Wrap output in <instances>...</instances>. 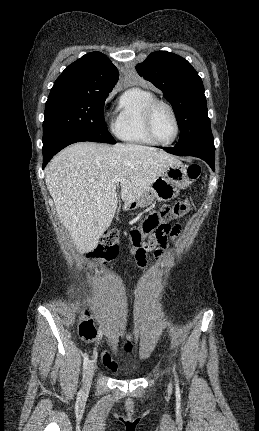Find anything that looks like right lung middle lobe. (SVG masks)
<instances>
[{
	"label": "right lung middle lobe",
	"instance_id": "1",
	"mask_svg": "<svg viewBox=\"0 0 259 431\" xmlns=\"http://www.w3.org/2000/svg\"><path fill=\"white\" fill-rule=\"evenodd\" d=\"M109 93L51 91L45 105L43 143L63 133H79L99 142L115 144L104 120Z\"/></svg>",
	"mask_w": 259,
	"mask_h": 431
}]
</instances>
